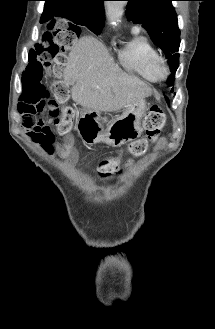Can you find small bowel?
Segmentation results:
<instances>
[{
	"mask_svg": "<svg viewBox=\"0 0 215 329\" xmlns=\"http://www.w3.org/2000/svg\"><path fill=\"white\" fill-rule=\"evenodd\" d=\"M39 124V131L36 132V126ZM23 125L26 128L27 135L33 142L39 144L42 149L50 153L55 144V136L53 132L47 129L48 126L38 122L35 118L30 116L23 117Z\"/></svg>",
	"mask_w": 215,
	"mask_h": 329,
	"instance_id": "c3829d8e",
	"label": "small bowel"
}]
</instances>
